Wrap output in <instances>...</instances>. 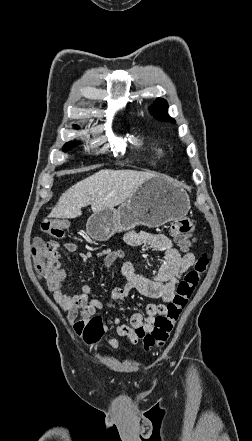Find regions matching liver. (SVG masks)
<instances>
[{"instance_id": "obj_1", "label": "liver", "mask_w": 252, "mask_h": 441, "mask_svg": "<svg viewBox=\"0 0 252 441\" xmlns=\"http://www.w3.org/2000/svg\"><path fill=\"white\" fill-rule=\"evenodd\" d=\"M154 174L134 170L103 169L83 179L59 198L49 217L76 218L81 208L91 205L92 211L113 209L124 203L147 179Z\"/></svg>"}]
</instances>
